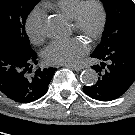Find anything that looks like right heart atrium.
<instances>
[{
    "label": "right heart atrium",
    "instance_id": "d8ad5b80",
    "mask_svg": "<svg viewBox=\"0 0 135 135\" xmlns=\"http://www.w3.org/2000/svg\"><path fill=\"white\" fill-rule=\"evenodd\" d=\"M26 33L34 44H40L45 39V16L39 9L32 10L25 22Z\"/></svg>",
    "mask_w": 135,
    "mask_h": 135
}]
</instances>
